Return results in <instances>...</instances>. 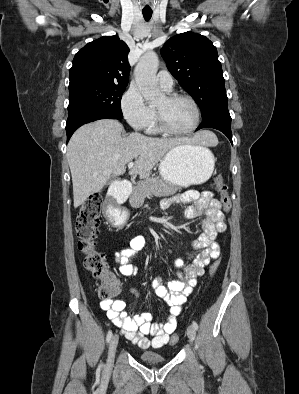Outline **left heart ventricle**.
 Segmentation results:
<instances>
[{"mask_svg": "<svg viewBox=\"0 0 299 394\" xmlns=\"http://www.w3.org/2000/svg\"><path fill=\"white\" fill-rule=\"evenodd\" d=\"M155 108L162 112L167 123L175 130H187L195 122L194 108L187 100L168 101L166 97H163L157 102Z\"/></svg>", "mask_w": 299, "mask_h": 394, "instance_id": "1", "label": "left heart ventricle"}]
</instances>
